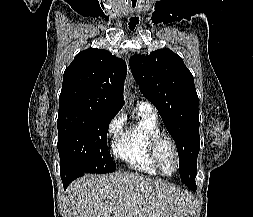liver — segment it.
<instances>
[{"instance_id":"1","label":"liver","mask_w":253,"mask_h":217,"mask_svg":"<svg viewBox=\"0 0 253 217\" xmlns=\"http://www.w3.org/2000/svg\"><path fill=\"white\" fill-rule=\"evenodd\" d=\"M71 217H185L188 195L134 173L90 175L67 189Z\"/></svg>"}]
</instances>
